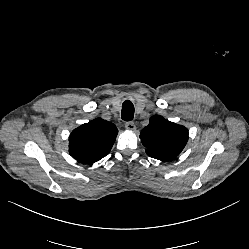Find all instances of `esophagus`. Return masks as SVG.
Segmentation results:
<instances>
[{
	"instance_id": "34e87169",
	"label": "esophagus",
	"mask_w": 249,
	"mask_h": 249,
	"mask_svg": "<svg viewBox=\"0 0 249 249\" xmlns=\"http://www.w3.org/2000/svg\"><path fill=\"white\" fill-rule=\"evenodd\" d=\"M125 128L127 130H129V131H135L136 130V125L134 124V122L129 121V122H126Z\"/></svg>"
}]
</instances>
